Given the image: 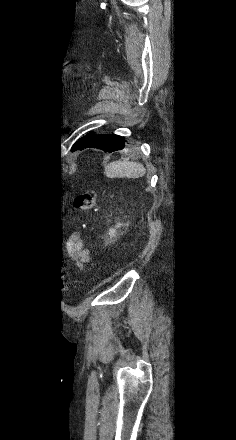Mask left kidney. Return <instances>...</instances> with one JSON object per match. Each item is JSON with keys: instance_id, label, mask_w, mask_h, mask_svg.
I'll return each mask as SVG.
<instances>
[{"instance_id": "obj_1", "label": "left kidney", "mask_w": 236, "mask_h": 440, "mask_svg": "<svg viewBox=\"0 0 236 440\" xmlns=\"http://www.w3.org/2000/svg\"><path fill=\"white\" fill-rule=\"evenodd\" d=\"M122 225H123V224H121V223H117V224L115 225V227H112V228L109 229V231H108V235H109V237H110L111 239L115 237V233H116L117 228H119V227L122 226Z\"/></svg>"}]
</instances>
